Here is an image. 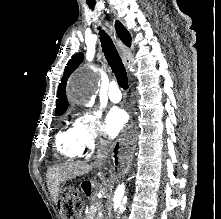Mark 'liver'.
Instances as JSON below:
<instances>
[{
	"label": "liver",
	"mask_w": 221,
	"mask_h": 219,
	"mask_svg": "<svg viewBox=\"0 0 221 219\" xmlns=\"http://www.w3.org/2000/svg\"><path fill=\"white\" fill-rule=\"evenodd\" d=\"M95 165L86 164L84 162H67L59 166L51 167L47 170L48 189L52 200L57 203L60 193V185L63 182L72 180L77 176L88 174ZM107 189L100 187V193L105 194Z\"/></svg>",
	"instance_id": "1"
}]
</instances>
